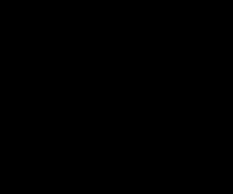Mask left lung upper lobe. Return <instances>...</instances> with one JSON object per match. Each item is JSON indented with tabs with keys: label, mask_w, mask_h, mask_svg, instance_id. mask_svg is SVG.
<instances>
[{
	"label": "left lung upper lobe",
	"mask_w": 233,
	"mask_h": 194,
	"mask_svg": "<svg viewBox=\"0 0 233 194\" xmlns=\"http://www.w3.org/2000/svg\"><path fill=\"white\" fill-rule=\"evenodd\" d=\"M144 105L161 150L181 151L196 123L197 105L193 97L174 85L155 84L147 90Z\"/></svg>",
	"instance_id": "obj_1"
}]
</instances>
